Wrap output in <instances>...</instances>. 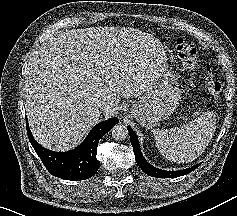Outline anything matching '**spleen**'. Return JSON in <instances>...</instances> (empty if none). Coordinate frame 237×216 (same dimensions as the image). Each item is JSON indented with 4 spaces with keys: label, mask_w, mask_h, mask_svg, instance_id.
Returning a JSON list of instances; mask_svg holds the SVG:
<instances>
[{
    "label": "spleen",
    "mask_w": 237,
    "mask_h": 216,
    "mask_svg": "<svg viewBox=\"0 0 237 216\" xmlns=\"http://www.w3.org/2000/svg\"><path fill=\"white\" fill-rule=\"evenodd\" d=\"M214 131L215 125L205 112L181 127L153 129V134L158 150L168 160L190 162L204 152Z\"/></svg>",
    "instance_id": "1"
}]
</instances>
